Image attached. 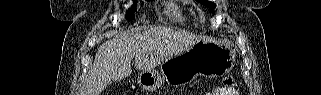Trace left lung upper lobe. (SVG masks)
<instances>
[{"label":"left lung upper lobe","mask_w":321,"mask_h":95,"mask_svg":"<svg viewBox=\"0 0 321 95\" xmlns=\"http://www.w3.org/2000/svg\"><path fill=\"white\" fill-rule=\"evenodd\" d=\"M197 1H199L200 3H202L204 5H207L211 9H214L216 7V5L214 3L207 1V0H197Z\"/></svg>","instance_id":"left-lung-upper-lobe-1"}]
</instances>
